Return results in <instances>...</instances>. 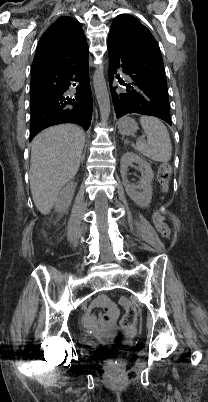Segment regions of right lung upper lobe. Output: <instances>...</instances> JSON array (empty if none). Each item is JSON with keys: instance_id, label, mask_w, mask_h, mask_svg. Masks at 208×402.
<instances>
[{"instance_id": "1", "label": "right lung upper lobe", "mask_w": 208, "mask_h": 402, "mask_svg": "<svg viewBox=\"0 0 208 402\" xmlns=\"http://www.w3.org/2000/svg\"><path fill=\"white\" fill-rule=\"evenodd\" d=\"M86 44L80 23L68 16L60 17L42 35L32 68L62 63L78 53Z\"/></svg>"}]
</instances>
